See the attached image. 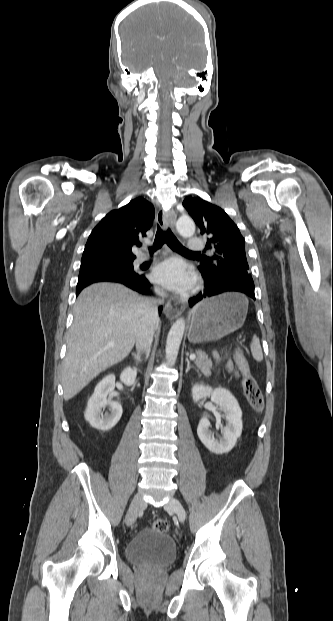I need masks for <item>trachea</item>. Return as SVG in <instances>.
I'll return each mask as SVG.
<instances>
[{
    "instance_id": "1",
    "label": "trachea",
    "mask_w": 333,
    "mask_h": 621,
    "mask_svg": "<svg viewBox=\"0 0 333 621\" xmlns=\"http://www.w3.org/2000/svg\"><path fill=\"white\" fill-rule=\"evenodd\" d=\"M164 243H166L172 250H174L176 252H179V253L197 254V255L201 254L200 252H192V251L188 250L187 248H185L177 240V238L172 233L170 228H168L166 231H164L158 225L153 247L149 248L150 253H153L154 251H156L159 248H161Z\"/></svg>"
}]
</instances>
